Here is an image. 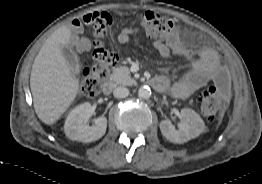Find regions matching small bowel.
Returning <instances> with one entry per match:
<instances>
[{"label":"small bowel","instance_id":"obj_1","mask_svg":"<svg viewBox=\"0 0 262 184\" xmlns=\"http://www.w3.org/2000/svg\"><path fill=\"white\" fill-rule=\"evenodd\" d=\"M71 28L73 31L79 32L82 29L80 20L74 19L71 22ZM136 32L137 30L134 28L120 30L117 36L119 42H128ZM71 44L80 51H88L91 48V42L86 37L74 38L71 40ZM153 45L162 57L175 54L190 60L189 70L174 83H170L168 78L164 76L154 78L159 82V87L156 90L169 92L181 100L188 99L196 91L212 83L222 66L219 55L214 49L209 47L190 48L183 42L179 34L171 36L166 41L156 40Z\"/></svg>","mask_w":262,"mask_h":184}]
</instances>
